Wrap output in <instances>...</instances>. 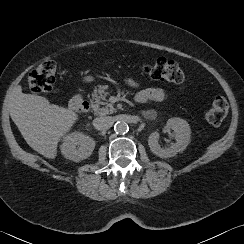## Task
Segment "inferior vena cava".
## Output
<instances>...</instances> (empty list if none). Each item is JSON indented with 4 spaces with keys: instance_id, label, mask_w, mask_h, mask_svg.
Wrapping results in <instances>:
<instances>
[{
    "instance_id": "1",
    "label": "inferior vena cava",
    "mask_w": 244,
    "mask_h": 244,
    "mask_svg": "<svg viewBox=\"0 0 244 244\" xmlns=\"http://www.w3.org/2000/svg\"><path fill=\"white\" fill-rule=\"evenodd\" d=\"M114 120L112 117H99L95 118L93 121V125L98 130H107L112 127Z\"/></svg>"
}]
</instances>
